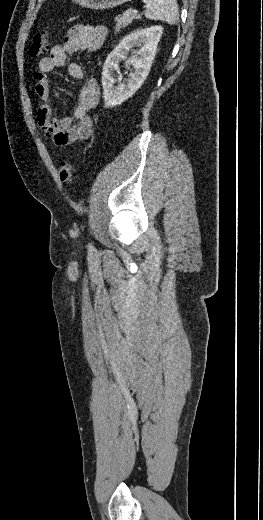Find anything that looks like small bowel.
I'll list each match as a JSON object with an SVG mask.
<instances>
[{
    "mask_svg": "<svg viewBox=\"0 0 263 520\" xmlns=\"http://www.w3.org/2000/svg\"><path fill=\"white\" fill-rule=\"evenodd\" d=\"M106 38V30L101 26L75 25L70 28L64 42L54 46L49 56L39 60L36 72L35 91L39 99L37 121L45 135L58 147H66L91 137L94 120L89 111L99 101L100 88L95 78H89L80 88L78 102L70 117L58 118L50 104L51 80L49 73L56 67L67 65L68 73L76 80L84 77L81 66L68 62L77 51H97Z\"/></svg>",
    "mask_w": 263,
    "mask_h": 520,
    "instance_id": "c3829d8e",
    "label": "small bowel"
}]
</instances>
